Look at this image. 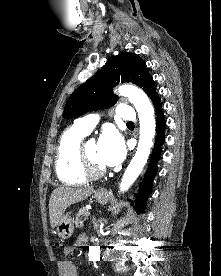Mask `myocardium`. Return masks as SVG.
<instances>
[{
    "label": "myocardium",
    "mask_w": 221,
    "mask_h": 276,
    "mask_svg": "<svg viewBox=\"0 0 221 276\" xmlns=\"http://www.w3.org/2000/svg\"><path fill=\"white\" fill-rule=\"evenodd\" d=\"M86 141H82L79 148L80 160L84 173L88 178L97 179L104 176L107 172L106 168H98L89 158L86 152Z\"/></svg>",
    "instance_id": "f54148a6"
}]
</instances>
